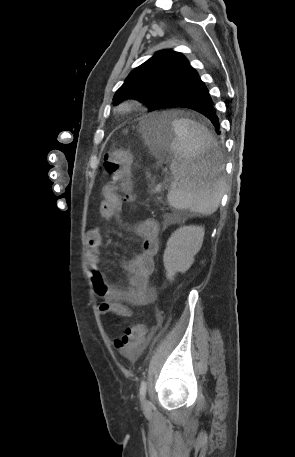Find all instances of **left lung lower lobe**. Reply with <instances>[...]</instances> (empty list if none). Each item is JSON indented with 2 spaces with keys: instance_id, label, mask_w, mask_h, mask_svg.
Returning a JSON list of instances; mask_svg holds the SVG:
<instances>
[{
  "instance_id": "1",
  "label": "left lung lower lobe",
  "mask_w": 295,
  "mask_h": 457,
  "mask_svg": "<svg viewBox=\"0 0 295 457\" xmlns=\"http://www.w3.org/2000/svg\"><path fill=\"white\" fill-rule=\"evenodd\" d=\"M189 85L180 90L177 94L162 101L157 109L165 107H185L195 110L206 116L215 128H219V119L216 115V110L213 106L212 99L208 89L201 81L197 71L193 69L189 75ZM220 134V132H217ZM214 158L209 162L213 163Z\"/></svg>"
}]
</instances>
